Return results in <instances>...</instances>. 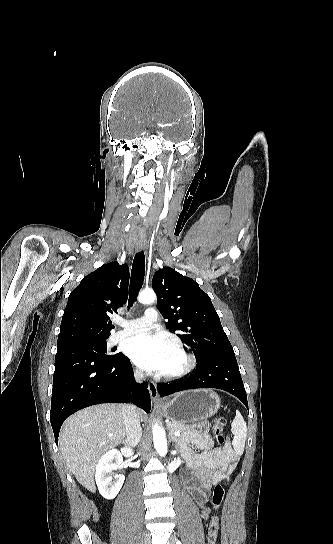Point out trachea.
I'll list each match as a JSON object with an SVG mask.
<instances>
[{
    "label": "trachea",
    "mask_w": 333,
    "mask_h": 544,
    "mask_svg": "<svg viewBox=\"0 0 333 544\" xmlns=\"http://www.w3.org/2000/svg\"><path fill=\"white\" fill-rule=\"evenodd\" d=\"M145 275V255L143 251L138 252L133 260L131 278H130V293L128 309L133 306L137 299L138 292L140 291Z\"/></svg>",
    "instance_id": "1"
}]
</instances>
